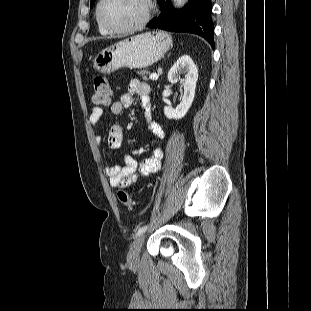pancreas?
<instances>
[{
  "label": "pancreas",
  "mask_w": 311,
  "mask_h": 311,
  "mask_svg": "<svg viewBox=\"0 0 311 311\" xmlns=\"http://www.w3.org/2000/svg\"><path fill=\"white\" fill-rule=\"evenodd\" d=\"M137 73H138L139 75H141V77L143 78V80L148 81V78H147V74L149 73L148 70L143 69V70H141V71H138Z\"/></svg>",
  "instance_id": "cf45deb5"
}]
</instances>
